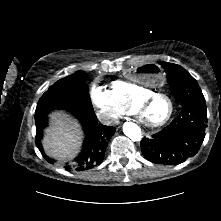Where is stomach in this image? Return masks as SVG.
I'll list each match as a JSON object with an SVG mask.
<instances>
[{
	"label": "stomach",
	"instance_id": "0dacf381",
	"mask_svg": "<svg viewBox=\"0 0 221 221\" xmlns=\"http://www.w3.org/2000/svg\"><path fill=\"white\" fill-rule=\"evenodd\" d=\"M165 67L162 62L153 60L144 65H135L130 68L128 77L131 82L145 87L156 88L164 80Z\"/></svg>",
	"mask_w": 221,
	"mask_h": 221
}]
</instances>
